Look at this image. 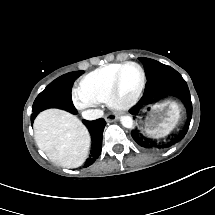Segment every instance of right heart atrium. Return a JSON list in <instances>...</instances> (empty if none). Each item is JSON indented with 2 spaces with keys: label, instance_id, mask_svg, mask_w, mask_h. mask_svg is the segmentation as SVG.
I'll return each instance as SVG.
<instances>
[{
  "label": "right heart atrium",
  "instance_id": "right-heart-atrium-1",
  "mask_svg": "<svg viewBox=\"0 0 215 215\" xmlns=\"http://www.w3.org/2000/svg\"><path fill=\"white\" fill-rule=\"evenodd\" d=\"M73 101L78 110L85 112L87 115H90L91 112L88 111L89 103L81 94L76 92L73 95Z\"/></svg>",
  "mask_w": 215,
  "mask_h": 215
}]
</instances>
